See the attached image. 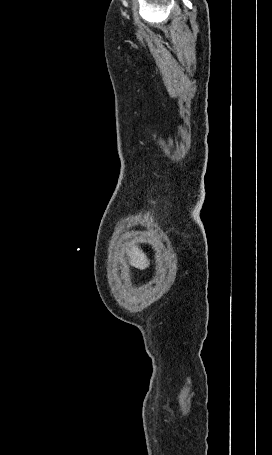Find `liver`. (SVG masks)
Returning a JSON list of instances; mask_svg holds the SVG:
<instances>
[{
	"mask_svg": "<svg viewBox=\"0 0 272 455\" xmlns=\"http://www.w3.org/2000/svg\"><path fill=\"white\" fill-rule=\"evenodd\" d=\"M128 255L130 264L136 268L143 270L149 265L146 255L136 247H133Z\"/></svg>",
	"mask_w": 272,
	"mask_h": 455,
	"instance_id": "1",
	"label": "liver"
}]
</instances>
